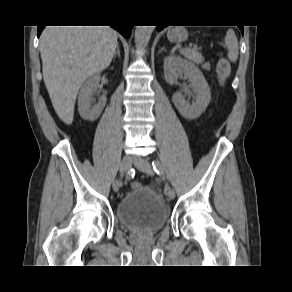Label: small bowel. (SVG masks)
<instances>
[{
	"label": "small bowel",
	"instance_id": "c3829d8e",
	"mask_svg": "<svg viewBox=\"0 0 292 292\" xmlns=\"http://www.w3.org/2000/svg\"><path fill=\"white\" fill-rule=\"evenodd\" d=\"M205 68H208V64H205V66H204Z\"/></svg>",
	"mask_w": 292,
	"mask_h": 292
}]
</instances>
